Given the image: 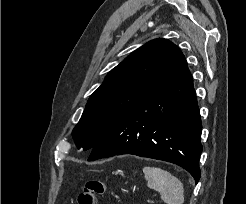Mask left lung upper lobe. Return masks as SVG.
Returning <instances> with one entry per match:
<instances>
[{"label": "left lung upper lobe", "instance_id": "left-lung-upper-lobe-1", "mask_svg": "<svg viewBox=\"0 0 246 204\" xmlns=\"http://www.w3.org/2000/svg\"><path fill=\"white\" fill-rule=\"evenodd\" d=\"M186 68L180 49L163 38L132 52L90 96L72 131L76 146L92 149L117 121Z\"/></svg>", "mask_w": 246, "mask_h": 204}]
</instances>
